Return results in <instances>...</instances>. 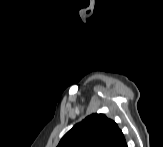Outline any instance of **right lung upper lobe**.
Here are the masks:
<instances>
[{
  "label": "right lung upper lobe",
  "instance_id": "1",
  "mask_svg": "<svg viewBox=\"0 0 163 147\" xmlns=\"http://www.w3.org/2000/svg\"><path fill=\"white\" fill-rule=\"evenodd\" d=\"M123 138L113 120L104 114H92L74 125L57 147H114Z\"/></svg>",
  "mask_w": 163,
  "mask_h": 147
}]
</instances>
